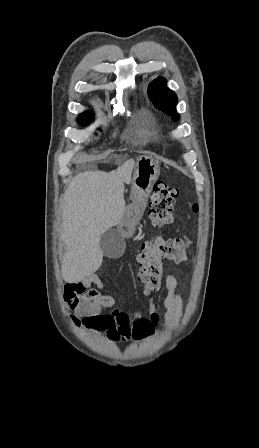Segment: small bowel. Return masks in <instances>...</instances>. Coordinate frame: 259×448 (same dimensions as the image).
<instances>
[{
  "label": "small bowel",
  "instance_id": "obj_1",
  "mask_svg": "<svg viewBox=\"0 0 259 448\" xmlns=\"http://www.w3.org/2000/svg\"><path fill=\"white\" fill-rule=\"evenodd\" d=\"M91 284H95L97 288H89ZM165 285L167 295L164 300V325L167 329H174L182 315V299L177 292V280L174 276L168 275ZM65 299L86 328L104 332L112 341L147 338L154 333L160 321L154 303L149 304L146 317L136 315L130 318L115 309V298L107 293L104 283L95 274L68 285ZM107 309L113 310L105 313Z\"/></svg>",
  "mask_w": 259,
  "mask_h": 448
}]
</instances>
